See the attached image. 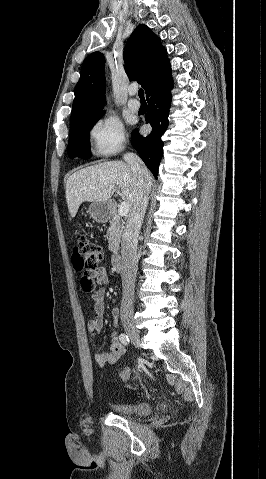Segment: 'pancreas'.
<instances>
[{"instance_id": "cf45deb5", "label": "pancreas", "mask_w": 266, "mask_h": 479, "mask_svg": "<svg viewBox=\"0 0 266 479\" xmlns=\"http://www.w3.org/2000/svg\"><path fill=\"white\" fill-rule=\"evenodd\" d=\"M122 229L123 224L121 223L120 217L118 215H114L112 220H110V227L108 230V248L114 254H117L119 250Z\"/></svg>"}]
</instances>
